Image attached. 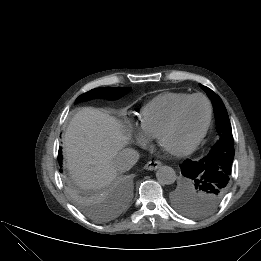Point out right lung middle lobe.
<instances>
[{
  "label": "right lung middle lobe",
  "mask_w": 261,
  "mask_h": 261,
  "mask_svg": "<svg viewBox=\"0 0 261 261\" xmlns=\"http://www.w3.org/2000/svg\"><path fill=\"white\" fill-rule=\"evenodd\" d=\"M131 88H110V87H101V88H96L92 89L87 93L82 94L76 99V102L79 101H85L93 98H107V99H117L122 97L123 95L127 94ZM73 197L79 204V206L89 215H94V212L90 207L86 206L80 200V198L73 192Z\"/></svg>",
  "instance_id": "dd1d6c3e"
}]
</instances>
